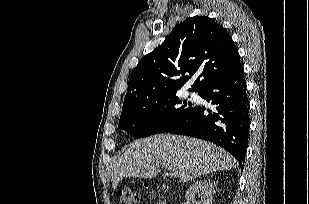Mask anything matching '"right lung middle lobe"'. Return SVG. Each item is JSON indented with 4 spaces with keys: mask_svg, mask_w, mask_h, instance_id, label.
I'll list each match as a JSON object with an SVG mask.
<instances>
[{
    "mask_svg": "<svg viewBox=\"0 0 309 204\" xmlns=\"http://www.w3.org/2000/svg\"><path fill=\"white\" fill-rule=\"evenodd\" d=\"M192 107L188 100H178L176 92L125 101L118 128L134 138L167 132L178 124Z\"/></svg>",
    "mask_w": 309,
    "mask_h": 204,
    "instance_id": "dd1d6c3e",
    "label": "right lung middle lobe"
}]
</instances>
